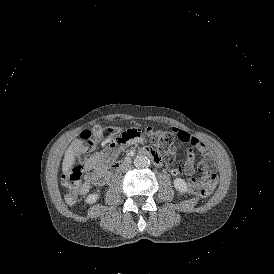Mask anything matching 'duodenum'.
I'll return each mask as SVG.
<instances>
[{
    "label": "duodenum",
    "mask_w": 274,
    "mask_h": 274,
    "mask_svg": "<svg viewBox=\"0 0 274 274\" xmlns=\"http://www.w3.org/2000/svg\"><path fill=\"white\" fill-rule=\"evenodd\" d=\"M139 154L150 158L156 165H160V163H161V159H160L159 155L157 154V152L149 147H145V148L141 149L139 151ZM128 162H129V159H125V160H120V161H116V162L112 163L110 166V172L112 173V172L118 171L120 168H122Z\"/></svg>",
    "instance_id": "1"
}]
</instances>
